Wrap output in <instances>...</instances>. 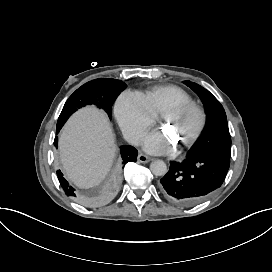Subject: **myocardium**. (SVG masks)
Masks as SVG:
<instances>
[{
  "label": "myocardium",
  "mask_w": 272,
  "mask_h": 272,
  "mask_svg": "<svg viewBox=\"0 0 272 272\" xmlns=\"http://www.w3.org/2000/svg\"><path fill=\"white\" fill-rule=\"evenodd\" d=\"M167 112L194 114L195 117L194 123L191 125L188 134L183 139V143L185 145L190 144L194 140V138L198 135L199 131L203 126L205 119L203 110L193 103L173 102L170 105H168L162 113L165 114Z\"/></svg>",
  "instance_id": "f54148a6"
}]
</instances>
